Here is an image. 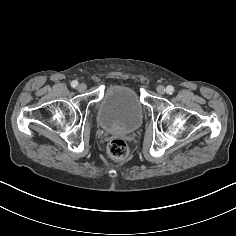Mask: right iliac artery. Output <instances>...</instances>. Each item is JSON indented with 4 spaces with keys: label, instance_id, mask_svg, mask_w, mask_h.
Returning a JSON list of instances; mask_svg holds the SVG:
<instances>
[{
    "label": "right iliac artery",
    "instance_id": "1",
    "mask_svg": "<svg viewBox=\"0 0 236 236\" xmlns=\"http://www.w3.org/2000/svg\"><path fill=\"white\" fill-rule=\"evenodd\" d=\"M77 85H78V82L76 80L71 82V86L72 87H77Z\"/></svg>",
    "mask_w": 236,
    "mask_h": 236
}]
</instances>
